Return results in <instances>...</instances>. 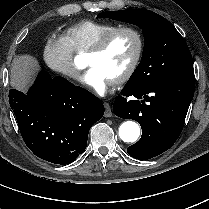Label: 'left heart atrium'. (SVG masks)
<instances>
[{
	"label": "left heart atrium",
	"mask_w": 209,
	"mask_h": 209,
	"mask_svg": "<svg viewBox=\"0 0 209 209\" xmlns=\"http://www.w3.org/2000/svg\"><path fill=\"white\" fill-rule=\"evenodd\" d=\"M81 81L99 95L107 92L108 87L114 84V80L107 77L99 68L89 67L81 77Z\"/></svg>",
	"instance_id": "1"
}]
</instances>
